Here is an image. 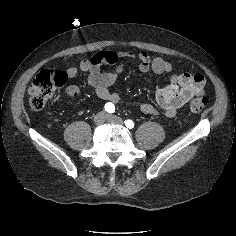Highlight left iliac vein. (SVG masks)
<instances>
[{"label": "left iliac vein", "instance_id": "1", "mask_svg": "<svg viewBox=\"0 0 236 236\" xmlns=\"http://www.w3.org/2000/svg\"><path fill=\"white\" fill-rule=\"evenodd\" d=\"M106 120L110 123H115V124H119V125L124 124L123 119L118 116H115V115H107Z\"/></svg>", "mask_w": 236, "mask_h": 236}]
</instances>
